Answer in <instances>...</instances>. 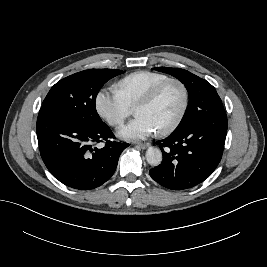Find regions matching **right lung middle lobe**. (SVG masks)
<instances>
[{
  "label": "right lung middle lobe",
  "mask_w": 267,
  "mask_h": 267,
  "mask_svg": "<svg viewBox=\"0 0 267 267\" xmlns=\"http://www.w3.org/2000/svg\"><path fill=\"white\" fill-rule=\"evenodd\" d=\"M124 73L115 69H89L57 82L43 101L51 107L90 125L105 124L99 117L95 100L101 87L111 78Z\"/></svg>",
  "instance_id": "right-lung-middle-lobe-1"
}]
</instances>
